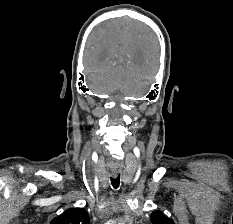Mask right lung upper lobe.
I'll list each match as a JSON object with an SVG mask.
<instances>
[{"label": "right lung upper lobe", "mask_w": 233, "mask_h": 224, "mask_svg": "<svg viewBox=\"0 0 233 224\" xmlns=\"http://www.w3.org/2000/svg\"><path fill=\"white\" fill-rule=\"evenodd\" d=\"M50 224H89V216L84 208H71L55 217Z\"/></svg>", "instance_id": "cb5924a9"}]
</instances>
